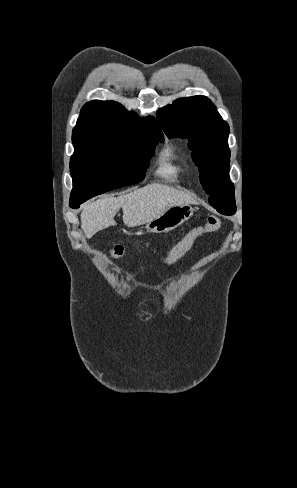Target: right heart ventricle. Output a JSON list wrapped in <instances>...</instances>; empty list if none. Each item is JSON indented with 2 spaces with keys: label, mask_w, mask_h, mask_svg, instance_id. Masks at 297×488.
<instances>
[{
  "label": "right heart ventricle",
  "mask_w": 297,
  "mask_h": 488,
  "mask_svg": "<svg viewBox=\"0 0 297 488\" xmlns=\"http://www.w3.org/2000/svg\"><path fill=\"white\" fill-rule=\"evenodd\" d=\"M183 171V155L174 143L165 144L157 158L156 174L168 180H176Z\"/></svg>",
  "instance_id": "obj_1"
}]
</instances>
